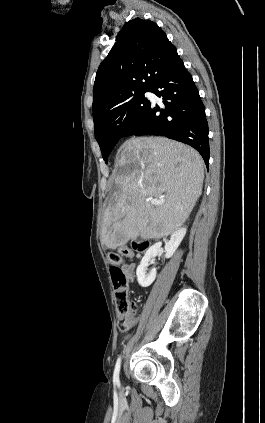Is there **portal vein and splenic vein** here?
<instances>
[{"instance_id":"portal-vein-and-splenic-vein-1","label":"portal vein and splenic vein","mask_w":265,"mask_h":423,"mask_svg":"<svg viewBox=\"0 0 265 423\" xmlns=\"http://www.w3.org/2000/svg\"><path fill=\"white\" fill-rule=\"evenodd\" d=\"M147 201L152 205H161L165 202L164 199H155L153 197H149Z\"/></svg>"}]
</instances>
